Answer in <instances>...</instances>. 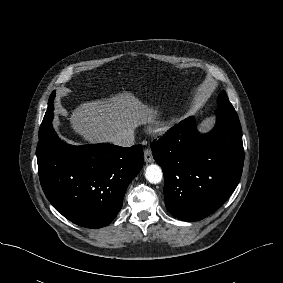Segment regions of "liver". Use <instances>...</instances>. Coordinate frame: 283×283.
<instances>
[{"label":"liver","instance_id":"6515ba94","mask_svg":"<svg viewBox=\"0 0 283 283\" xmlns=\"http://www.w3.org/2000/svg\"><path fill=\"white\" fill-rule=\"evenodd\" d=\"M71 129L87 143L110 142L120 132L156 122V110L130 92L81 103L68 117Z\"/></svg>","mask_w":283,"mask_h":283}]
</instances>
